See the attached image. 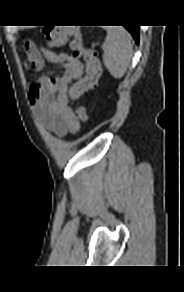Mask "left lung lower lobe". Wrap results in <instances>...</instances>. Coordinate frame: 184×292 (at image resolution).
Returning <instances> with one entry per match:
<instances>
[{
	"instance_id": "0a47b994",
	"label": "left lung lower lobe",
	"mask_w": 184,
	"mask_h": 292,
	"mask_svg": "<svg viewBox=\"0 0 184 292\" xmlns=\"http://www.w3.org/2000/svg\"><path fill=\"white\" fill-rule=\"evenodd\" d=\"M133 36L135 42L139 43V26H124Z\"/></svg>"
}]
</instances>
